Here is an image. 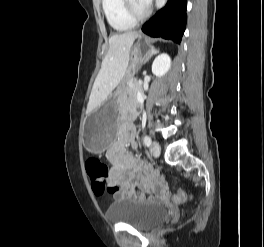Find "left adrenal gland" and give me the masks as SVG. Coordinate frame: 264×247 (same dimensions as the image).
<instances>
[{"label":"left adrenal gland","mask_w":264,"mask_h":247,"mask_svg":"<svg viewBox=\"0 0 264 247\" xmlns=\"http://www.w3.org/2000/svg\"><path fill=\"white\" fill-rule=\"evenodd\" d=\"M157 53H159V50L155 49L154 47L149 49L145 55L144 63H146L153 55H156Z\"/></svg>","instance_id":"1"}]
</instances>
